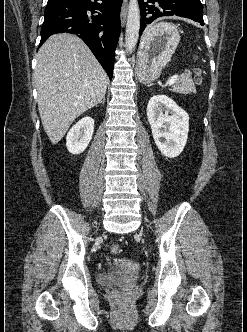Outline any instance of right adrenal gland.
I'll list each match as a JSON object with an SVG mask.
<instances>
[{
	"label": "right adrenal gland",
	"mask_w": 247,
	"mask_h": 332,
	"mask_svg": "<svg viewBox=\"0 0 247 332\" xmlns=\"http://www.w3.org/2000/svg\"><path fill=\"white\" fill-rule=\"evenodd\" d=\"M100 103L104 104L105 103V97H103L102 101Z\"/></svg>",
	"instance_id": "2a0ac1e0"
}]
</instances>
